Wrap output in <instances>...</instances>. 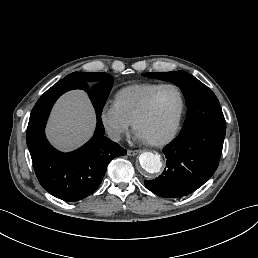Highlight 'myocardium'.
<instances>
[{"instance_id":"myocardium-1","label":"myocardium","mask_w":258,"mask_h":258,"mask_svg":"<svg viewBox=\"0 0 258 258\" xmlns=\"http://www.w3.org/2000/svg\"><path fill=\"white\" fill-rule=\"evenodd\" d=\"M164 88H171L173 90L176 91L177 95H178V99H179V110H178V115H177V119H176V123L175 126L173 128V130L171 131V133L163 138H150V137H146L140 134L139 131V125L140 122L147 116L150 106L152 104L153 98L156 95V93L158 91H160L161 89ZM183 108H184V102H183V97L181 92L179 91V89L172 85V84H163V85H159L147 98L142 110L140 111V113L138 114V116L136 117L135 121H134V131L136 136L143 140L146 143L152 144V145H164L169 143L170 141H172L175 137V135L177 134V131L179 129L180 123H181V118H182V114H183Z\"/></svg>"}]
</instances>
